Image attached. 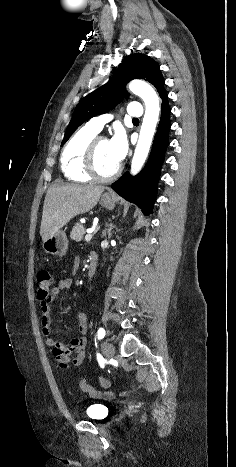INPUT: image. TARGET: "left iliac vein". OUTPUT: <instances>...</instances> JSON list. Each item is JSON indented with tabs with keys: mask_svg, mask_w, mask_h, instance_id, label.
<instances>
[{
	"mask_svg": "<svg viewBox=\"0 0 236 467\" xmlns=\"http://www.w3.org/2000/svg\"><path fill=\"white\" fill-rule=\"evenodd\" d=\"M102 350L107 359H111L115 355V347L110 342L104 341L102 343Z\"/></svg>",
	"mask_w": 236,
	"mask_h": 467,
	"instance_id": "obj_1",
	"label": "left iliac vein"
}]
</instances>
